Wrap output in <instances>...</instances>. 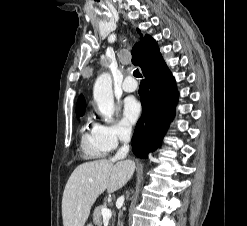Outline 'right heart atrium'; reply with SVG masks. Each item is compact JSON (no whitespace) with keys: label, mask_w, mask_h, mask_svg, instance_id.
<instances>
[{"label":"right heart atrium","mask_w":247,"mask_h":226,"mask_svg":"<svg viewBox=\"0 0 247 226\" xmlns=\"http://www.w3.org/2000/svg\"><path fill=\"white\" fill-rule=\"evenodd\" d=\"M97 135L107 150H112L116 148L120 142L129 139L131 129L126 122L115 121L110 125H97Z\"/></svg>","instance_id":"obj_1"}]
</instances>
